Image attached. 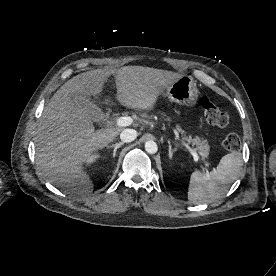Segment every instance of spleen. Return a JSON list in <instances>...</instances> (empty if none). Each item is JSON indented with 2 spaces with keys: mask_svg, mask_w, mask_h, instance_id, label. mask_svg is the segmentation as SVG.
Instances as JSON below:
<instances>
[{
  "mask_svg": "<svg viewBox=\"0 0 276 276\" xmlns=\"http://www.w3.org/2000/svg\"><path fill=\"white\" fill-rule=\"evenodd\" d=\"M241 166V154L232 152L223 156L213 171H194L190 176L188 200L193 204H205L221 198L237 178Z\"/></svg>",
  "mask_w": 276,
  "mask_h": 276,
  "instance_id": "1",
  "label": "spleen"
}]
</instances>
